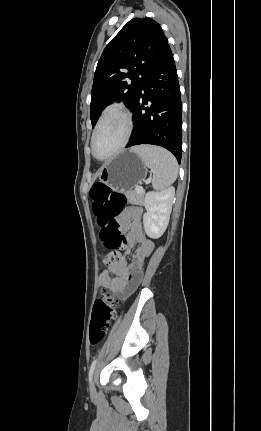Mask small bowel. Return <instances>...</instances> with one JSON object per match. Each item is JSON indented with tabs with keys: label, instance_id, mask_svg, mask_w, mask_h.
I'll return each mask as SVG.
<instances>
[{
	"label": "small bowel",
	"instance_id": "obj_1",
	"mask_svg": "<svg viewBox=\"0 0 261 431\" xmlns=\"http://www.w3.org/2000/svg\"><path fill=\"white\" fill-rule=\"evenodd\" d=\"M142 209L129 207L119 217L123 230L127 231V246L136 247L131 263L126 259L118 264L108 265L99 276V285L121 297H126L139 284L145 266V260L153 250L154 244L148 240L141 225Z\"/></svg>",
	"mask_w": 261,
	"mask_h": 431
}]
</instances>
